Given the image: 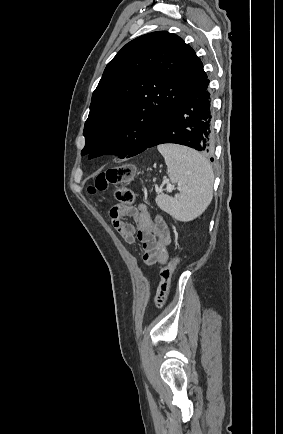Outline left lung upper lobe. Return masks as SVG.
<instances>
[{
    "mask_svg": "<svg viewBox=\"0 0 283 434\" xmlns=\"http://www.w3.org/2000/svg\"><path fill=\"white\" fill-rule=\"evenodd\" d=\"M206 77L195 51L175 34L158 31L130 41L93 92L81 154L141 153L183 94Z\"/></svg>",
    "mask_w": 283,
    "mask_h": 434,
    "instance_id": "1",
    "label": "left lung upper lobe"
}]
</instances>
